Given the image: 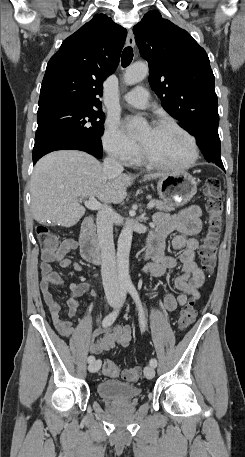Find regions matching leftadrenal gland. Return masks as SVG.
<instances>
[{
    "label": "left adrenal gland",
    "instance_id": "1",
    "mask_svg": "<svg viewBox=\"0 0 245 457\" xmlns=\"http://www.w3.org/2000/svg\"><path fill=\"white\" fill-rule=\"evenodd\" d=\"M144 214H145V212H144ZM144 214H142V216H143V218H145V220H146V216H144Z\"/></svg>",
    "mask_w": 245,
    "mask_h": 457
}]
</instances>
